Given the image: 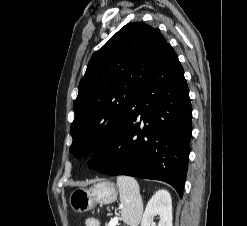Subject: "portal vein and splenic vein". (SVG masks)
<instances>
[{
  "instance_id": "1",
  "label": "portal vein and splenic vein",
  "mask_w": 247,
  "mask_h": 226,
  "mask_svg": "<svg viewBox=\"0 0 247 226\" xmlns=\"http://www.w3.org/2000/svg\"><path fill=\"white\" fill-rule=\"evenodd\" d=\"M118 217L116 216V217H114L110 222H109V224H108V226H114V225H116L117 223H118Z\"/></svg>"
}]
</instances>
